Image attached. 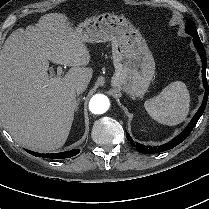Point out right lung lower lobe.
<instances>
[{"label":"right lung lower lobe","instance_id":"obj_1","mask_svg":"<svg viewBox=\"0 0 209 209\" xmlns=\"http://www.w3.org/2000/svg\"><path fill=\"white\" fill-rule=\"evenodd\" d=\"M26 151L28 153H30L31 155L36 156V157L52 158V159L70 158V157H73V156L77 155L80 152L79 149L65 151V152H61V153H52V154H40V153L33 152V151H30V150H26Z\"/></svg>","mask_w":209,"mask_h":209}]
</instances>
